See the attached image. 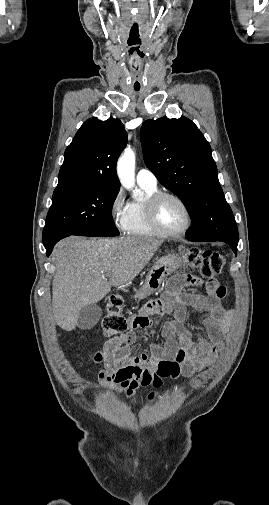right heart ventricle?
<instances>
[{"mask_svg":"<svg viewBox=\"0 0 269 505\" xmlns=\"http://www.w3.org/2000/svg\"><path fill=\"white\" fill-rule=\"evenodd\" d=\"M144 196L140 200L132 201L128 204L127 223L125 232L131 236L154 237L158 234L151 228L145 210L146 200L156 192L157 187L139 184Z\"/></svg>","mask_w":269,"mask_h":505,"instance_id":"obj_1","label":"right heart ventricle"}]
</instances>
